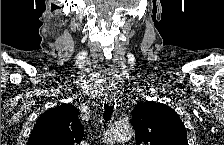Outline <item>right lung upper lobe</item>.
Instances as JSON below:
<instances>
[{
	"label": "right lung upper lobe",
	"instance_id": "1",
	"mask_svg": "<svg viewBox=\"0 0 224 145\" xmlns=\"http://www.w3.org/2000/svg\"><path fill=\"white\" fill-rule=\"evenodd\" d=\"M77 108L63 104L47 110L36 121L29 145H75L83 138L84 128Z\"/></svg>",
	"mask_w": 224,
	"mask_h": 145
}]
</instances>
